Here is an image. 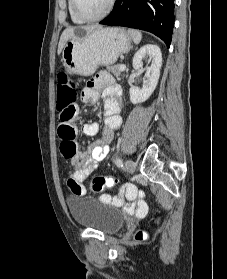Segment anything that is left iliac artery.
Listing matches in <instances>:
<instances>
[{
	"instance_id": "left-iliac-artery-1",
	"label": "left iliac artery",
	"mask_w": 227,
	"mask_h": 279,
	"mask_svg": "<svg viewBox=\"0 0 227 279\" xmlns=\"http://www.w3.org/2000/svg\"><path fill=\"white\" fill-rule=\"evenodd\" d=\"M115 164H116L118 167H123V162H122V160H121L120 158H117V159L115 160Z\"/></svg>"
}]
</instances>
